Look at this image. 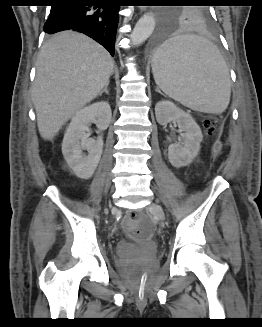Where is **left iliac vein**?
<instances>
[{
	"mask_svg": "<svg viewBox=\"0 0 262 327\" xmlns=\"http://www.w3.org/2000/svg\"><path fill=\"white\" fill-rule=\"evenodd\" d=\"M149 209H150L153 213H155L156 216H157L160 220H162V221L165 220V213H164V211H163V208H162L159 204H157V203H152V204L150 205Z\"/></svg>",
	"mask_w": 262,
	"mask_h": 327,
	"instance_id": "1",
	"label": "left iliac vein"
}]
</instances>
